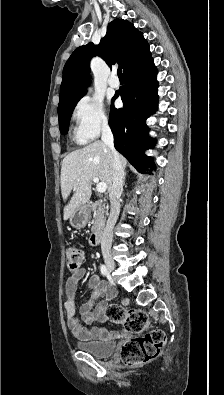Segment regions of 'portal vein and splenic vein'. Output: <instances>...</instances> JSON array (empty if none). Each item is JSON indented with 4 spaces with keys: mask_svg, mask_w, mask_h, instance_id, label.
I'll use <instances>...</instances> for the list:
<instances>
[{
    "mask_svg": "<svg viewBox=\"0 0 224 395\" xmlns=\"http://www.w3.org/2000/svg\"><path fill=\"white\" fill-rule=\"evenodd\" d=\"M93 182L96 183V189L99 193H104L106 192L107 189V185L105 183L99 182V178L98 177H94L93 178Z\"/></svg>",
    "mask_w": 224,
    "mask_h": 395,
    "instance_id": "portal-vein-and-splenic-vein-1",
    "label": "portal vein and splenic vein"
}]
</instances>
